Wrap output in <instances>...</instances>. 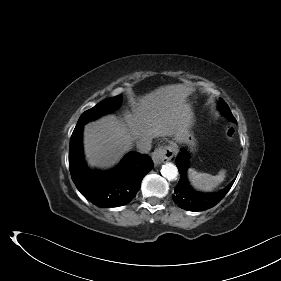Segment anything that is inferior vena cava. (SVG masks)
I'll return each instance as SVG.
<instances>
[{"mask_svg":"<svg viewBox=\"0 0 281 281\" xmlns=\"http://www.w3.org/2000/svg\"><path fill=\"white\" fill-rule=\"evenodd\" d=\"M152 139H140L136 142L138 152L147 154L151 150Z\"/></svg>","mask_w":281,"mask_h":281,"instance_id":"obj_1","label":"inferior vena cava"}]
</instances>
